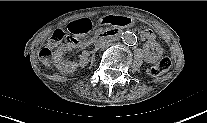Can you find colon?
<instances>
[{
    "label": "colon",
    "instance_id": "1",
    "mask_svg": "<svg viewBox=\"0 0 207 123\" xmlns=\"http://www.w3.org/2000/svg\"><path fill=\"white\" fill-rule=\"evenodd\" d=\"M61 35H58L57 38L53 41V44L57 43L58 40L61 38ZM43 62L48 64L49 59L47 57L43 58ZM172 66V60L170 57H163L156 65L147 69V75L150 77H158L170 70Z\"/></svg>",
    "mask_w": 207,
    "mask_h": 123
}]
</instances>
